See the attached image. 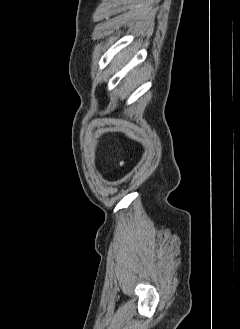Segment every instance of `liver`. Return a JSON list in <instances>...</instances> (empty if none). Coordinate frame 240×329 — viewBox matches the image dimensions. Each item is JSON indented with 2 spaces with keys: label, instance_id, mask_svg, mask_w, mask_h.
Returning a JSON list of instances; mask_svg holds the SVG:
<instances>
[{
  "label": "liver",
  "instance_id": "liver-1",
  "mask_svg": "<svg viewBox=\"0 0 240 329\" xmlns=\"http://www.w3.org/2000/svg\"><path fill=\"white\" fill-rule=\"evenodd\" d=\"M123 57H124V54H120L117 59L121 60V59H123Z\"/></svg>",
  "mask_w": 240,
  "mask_h": 329
}]
</instances>
